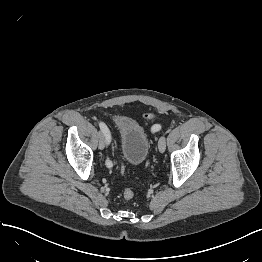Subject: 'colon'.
I'll return each mask as SVG.
<instances>
[{"label": "colon", "instance_id": "1", "mask_svg": "<svg viewBox=\"0 0 262 262\" xmlns=\"http://www.w3.org/2000/svg\"><path fill=\"white\" fill-rule=\"evenodd\" d=\"M153 117H154V115H153V114H150V113L145 116V118H146L147 120H151ZM123 197H124V199H126V200H131V199H133V198H134V192H133V190L130 189V188L126 189V190L124 191V193H123Z\"/></svg>", "mask_w": 262, "mask_h": 262}]
</instances>
